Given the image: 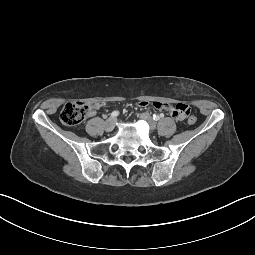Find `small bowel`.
<instances>
[{"mask_svg": "<svg viewBox=\"0 0 255 255\" xmlns=\"http://www.w3.org/2000/svg\"><path fill=\"white\" fill-rule=\"evenodd\" d=\"M148 102H140V105H147ZM152 105L157 109H163L171 114L173 119L175 120H184L189 117L191 114V107L188 104H171V103H160L153 102ZM102 106V103L95 102L92 104V110L90 111V115L95 114V109H98Z\"/></svg>", "mask_w": 255, "mask_h": 255, "instance_id": "small-bowel-1", "label": "small bowel"}]
</instances>
